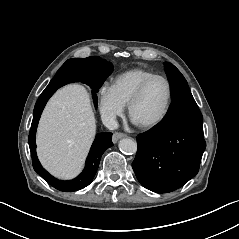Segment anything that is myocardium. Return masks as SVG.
<instances>
[{
	"instance_id": "obj_1",
	"label": "myocardium",
	"mask_w": 239,
	"mask_h": 239,
	"mask_svg": "<svg viewBox=\"0 0 239 239\" xmlns=\"http://www.w3.org/2000/svg\"><path fill=\"white\" fill-rule=\"evenodd\" d=\"M161 79L163 80L168 88V97H167V102L165 105V108L163 110V112L161 113V115L156 118L155 120L151 121V122H147V123H138L134 120L133 118V111L135 106L137 105V103L140 101V99L142 98L144 92L146 91V89L148 88V86L155 80ZM172 101H173V87L172 84L170 82V80L163 76V75H154L149 77L148 79H146L139 87L138 89L135 91V93L132 95L128 105H127V110H128V115L131 118L132 121H134L136 123V125L143 129V130H149V129H153L157 126H159L168 116L171 106H172Z\"/></svg>"
}]
</instances>
